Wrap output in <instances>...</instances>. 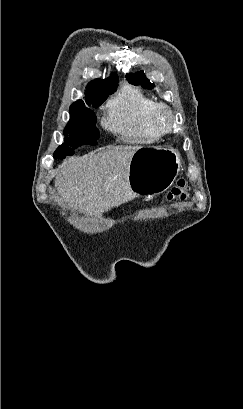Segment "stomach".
<instances>
[{"mask_svg": "<svg viewBox=\"0 0 243 409\" xmlns=\"http://www.w3.org/2000/svg\"><path fill=\"white\" fill-rule=\"evenodd\" d=\"M180 166V154L172 148H139L129 165L128 186L135 195H158L173 184Z\"/></svg>", "mask_w": 243, "mask_h": 409, "instance_id": "0dacf381", "label": "stomach"}]
</instances>
